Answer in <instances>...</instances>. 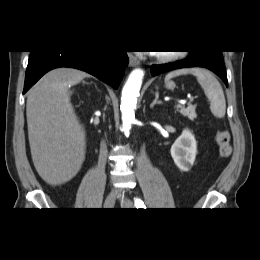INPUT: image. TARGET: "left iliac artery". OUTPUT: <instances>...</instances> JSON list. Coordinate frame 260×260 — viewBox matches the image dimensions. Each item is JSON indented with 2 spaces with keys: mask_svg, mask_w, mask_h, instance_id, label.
Listing matches in <instances>:
<instances>
[{
  "mask_svg": "<svg viewBox=\"0 0 260 260\" xmlns=\"http://www.w3.org/2000/svg\"><path fill=\"white\" fill-rule=\"evenodd\" d=\"M135 205L139 209L146 208L144 202L140 198H135Z\"/></svg>",
  "mask_w": 260,
  "mask_h": 260,
  "instance_id": "44dca946",
  "label": "left iliac artery"
}]
</instances>
